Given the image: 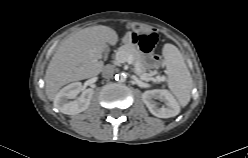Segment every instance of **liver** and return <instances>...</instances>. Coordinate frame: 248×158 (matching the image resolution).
I'll list each match as a JSON object with an SVG mask.
<instances>
[{
  "instance_id": "6515ba94",
  "label": "liver",
  "mask_w": 248,
  "mask_h": 158,
  "mask_svg": "<svg viewBox=\"0 0 248 158\" xmlns=\"http://www.w3.org/2000/svg\"><path fill=\"white\" fill-rule=\"evenodd\" d=\"M118 41L110 27L98 25L69 35L53 55L45 74V91L54 101L64 85L98 75L103 70L102 52Z\"/></svg>"
}]
</instances>
